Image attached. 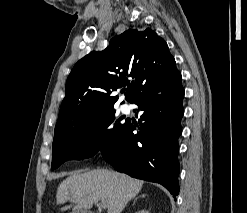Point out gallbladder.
I'll list each match as a JSON object with an SVG mask.
<instances>
[{
	"label": "gallbladder",
	"mask_w": 247,
	"mask_h": 213,
	"mask_svg": "<svg viewBox=\"0 0 247 213\" xmlns=\"http://www.w3.org/2000/svg\"><path fill=\"white\" fill-rule=\"evenodd\" d=\"M72 213H90L89 211L87 210H84V209H78V210H75L74 212Z\"/></svg>",
	"instance_id": "1"
}]
</instances>
